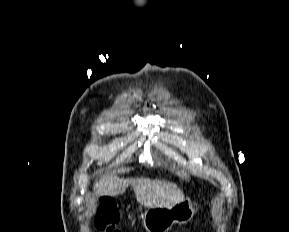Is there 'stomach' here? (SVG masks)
I'll use <instances>...</instances> for the list:
<instances>
[{"mask_svg": "<svg viewBox=\"0 0 289 232\" xmlns=\"http://www.w3.org/2000/svg\"><path fill=\"white\" fill-rule=\"evenodd\" d=\"M195 213L194 203L186 198L171 206L148 208L142 217L143 225L147 232H167L175 223L190 221Z\"/></svg>", "mask_w": 289, "mask_h": 232, "instance_id": "obj_1", "label": "stomach"}]
</instances>
